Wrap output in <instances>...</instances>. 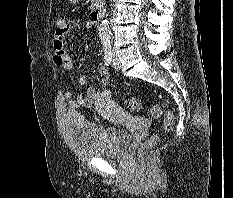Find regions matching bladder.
<instances>
[{
	"label": "bladder",
	"instance_id": "bladder-1",
	"mask_svg": "<svg viewBox=\"0 0 233 198\" xmlns=\"http://www.w3.org/2000/svg\"><path fill=\"white\" fill-rule=\"evenodd\" d=\"M66 124L72 147L87 156L118 158L132 139L128 130L92 123L78 112H69Z\"/></svg>",
	"mask_w": 233,
	"mask_h": 198
}]
</instances>
